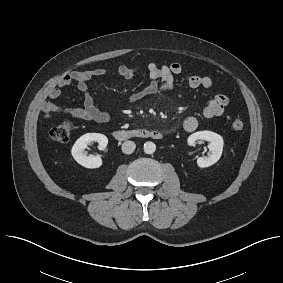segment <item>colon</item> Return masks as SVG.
I'll list each match as a JSON object with an SVG mask.
<instances>
[{
  "instance_id": "5ec220e1",
  "label": "colon",
  "mask_w": 283,
  "mask_h": 283,
  "mask_svg": "<svg viewBox=\"0 0 283 283\" xmlns=\"http://www.w3.org/2000/svg\"><path fill=\"white\" fill-rule=\"evenodd\" d=\"M232 128L235 131H241L244 128V122L241 119H235L232 122ZM72 133V126L68 122H62L54 126L49 132V138L51 141L56 143L67 142Z\"/></svg>"
}]
</instances>
